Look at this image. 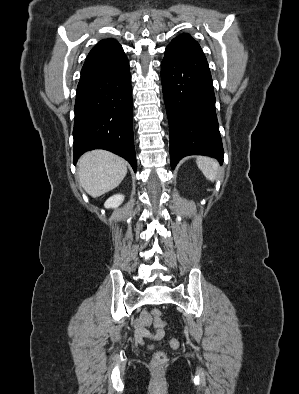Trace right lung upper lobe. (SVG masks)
I'll list each match as a JSON object with an SVG mask.
<instances>
[{"label":"right lung upper lobe","mask_w":299,"mask_h":394,"mask_svg":"<svg viewBox=\"0 0 299 394\" xmlns=\"http://www.w3.org/2000/svg\"><path fill=\"white\" fill-rule=\"evenodd\" d=\"M125 56L121 45L115 39L101 40L89 52L84 64Z\"/></svg>","instance_id":"1"}]
</instances>
